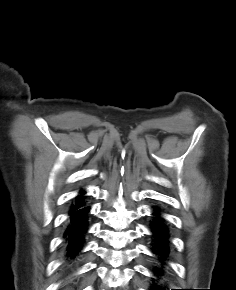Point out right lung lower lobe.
<instances>
[{"label": "right lung lower lobe", "instance_id": "right-lung-lower-lobe-1", "mask_svg": "<svg viewBox=\"0 0 236 290\" xmlns=\"http://www.w3.org/2000/svg\"><path fill=\"white\" fill-rule=\"evenodd\" d=\"M90 208L83 202L75 206L69 212L66 223L64 239V259L66 265H73L76 257L81 253L85 245V237L88 231V217Z\"/></svg>", "mask_w": 236, "mask_h": 290}]
</instances>
